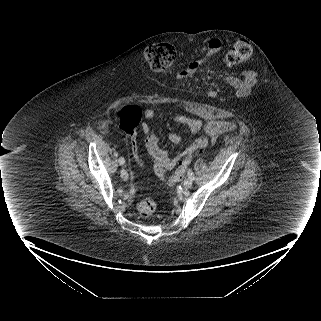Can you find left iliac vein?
Here are the masks:
<instances>
[{"instance_id":"1","label":"left iliac vein","mask_w":321,"mask_h":321,"mask_svg":"<svg viewBox=\"0 0 321 321\" xmlns=\"http://www.w3.org/2000/svg\"><path fill=\"white\" fill-rule=\"evenodd\" d=\"M193 180L191 178H186L183 182V185L186 189L190 188L192 186Z\"/></svg>"}]
</instances>
